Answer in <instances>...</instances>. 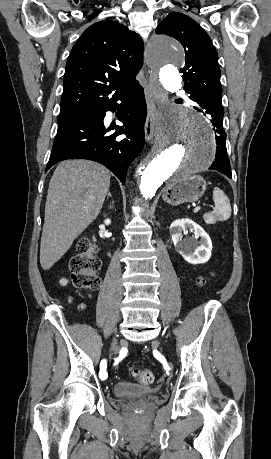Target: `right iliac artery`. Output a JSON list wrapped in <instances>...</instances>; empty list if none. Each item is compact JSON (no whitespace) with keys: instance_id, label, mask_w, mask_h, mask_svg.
Segmentation results:
<instances>
[{"instance_id":"1","label":"right iliac artery","mask_w":271,"mask_h":459,"mask_svg":"<svg viewBox=\"0 0 271 459\" xmlns=\"http://www.w3.org/2000/svg\"><path fill=\"white\" fill-rule=\"evenodd\" d=\"M106 367H107L106 360H102L101 363H100V368H101L100 372H101V374H103L104 378H106V380H107V378L109 379L110 375H109V373H107Z\"/></svg>"}]
</instances>
